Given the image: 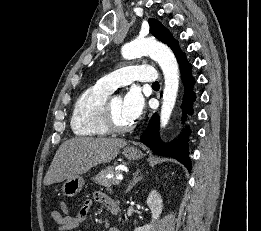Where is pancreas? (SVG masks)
<instances>
[{"mask_svg": "<svg viewBox=\"0 0 261 231\" xmlns=\"http://www.w3.org/2000/svg\"><path fill=\"white\" fill-rule=\"evenodd\" d=\"M108 174L120 175V171H115L113 166H109L106 169L101 170L94 178L95 182L106 188H110L113 185L114 178H107Z\"/></svg>", "mask_w": 261, "mask_h": 231, "instance_id": "pancreas-1", "label": "pancreas"}]
</instances>
